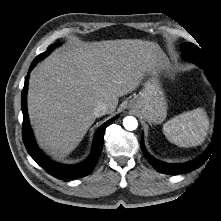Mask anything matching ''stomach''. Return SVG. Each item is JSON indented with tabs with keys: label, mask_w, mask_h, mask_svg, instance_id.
<instances>
[{
	"label": "stomach",
	"mask_w": 221,
	"mask_h": 221,
	"mask_svg": "<svg viewBox=\"0 0 221 221\" xmlns=\"http://www.w3.org/2000/svg\"><path fill=\"white\" fill-rule=\"evenodd\" d=\"M129 108L138 111L149 123L160 124L166 119L167 100L160 83L159 67L149 72L142 90L129 101Z\"/></svg>",
	"instance_id": "obj_1"
}]
</instances>
